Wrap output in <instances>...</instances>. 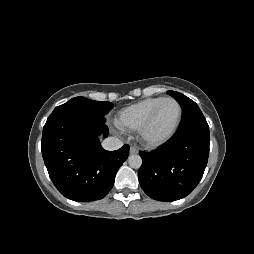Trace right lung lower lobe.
<instances>
[{"instance_id":"98d812e1","label":"right lung lower lobe","mask_w":254,"mask_h":254,"mask_svg":"<svg viewBox=\"0 0 254 254\" xmlns=\"http://www.w3.org/2000/svg\"><path fill=\"white\" fill-rule=\"evenodd\" d=\"M105 117L72 109L54 110L43 128L41 150L49 176L62 195L77 202L104 198L129 155V146L104 150Z\"/></svg>"}]
</instances>
